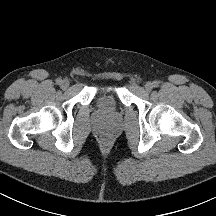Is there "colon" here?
<instances>
[{"label":"colon","mask_w":216,"mask_h":216,"mask_svg":"<svg viewBox=\"0 0 216 216\" xmlns=\"http://www.w3.org/2000/svg\"><path fill=\"white\" fill-rule=\"evenodd\" d=\"M101 142H102L103 144H109V143L111 142V136H110V135H107V134L103 135V136L101 137Z\"/></svg>","instance_id":"1"}]
</instances>
